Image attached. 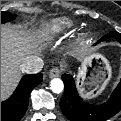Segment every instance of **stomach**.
I'll return each mask as SVG.
<instances>
[{"label": "stomach", "instance_id": "0dacf381", "mask_svg": "<svg viewBox=\"0 0 121 121\" xmlns=\"http://www.w3.org/2000/svg\"><path fill=\"white\" fill-rule=\"evenodd\" d=\"M111 74V66L104 56L94 54L86 59L77 75L82 96L91 99L99 95L108 84Z\"/></svg>", "mask_w": 121, "mask_h": 121}]
</instances>
